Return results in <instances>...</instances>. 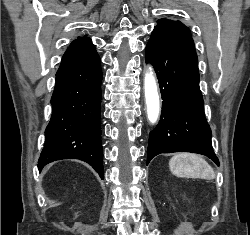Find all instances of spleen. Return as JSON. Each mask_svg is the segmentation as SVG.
<instances>
[{"label": "spleen", "instance_id": "1", "mask_svg": "<svg viewBox=\"0 0 250 235\" xmlns=\"http://www.w3.org/2000/svg\"><path fill=\"white\" fill-rule=\"evenodd\" d=\"M169 168L177 177L201 178L207 180L215 178L213 168L206 160L196 154L181 153L173 156L169 161Z\"/></svg>", "mask_w": 250, "mask_h": 235}]
</instances>
